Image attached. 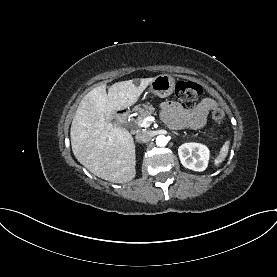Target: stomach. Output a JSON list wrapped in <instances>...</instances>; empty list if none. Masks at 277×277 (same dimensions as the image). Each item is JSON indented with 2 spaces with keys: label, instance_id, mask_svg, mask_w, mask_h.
Returning a JSON list of instances; mask_svg holds the SVG:
<instances>
[{
  "label": "stomach",
  "instance_id": "stomach-1",
  "mask_svg": "<svg viewBox=\"0 0 277 277\" xmlns=\"http://www.w3.org/2000/svg\"><path fill=\"white\" fill-rule=\"evenodd\" d=\"M175 88V80L168 74L158 75L150 83L149 92L159 97L169 96Z\"/></svg>",
  "mask_w": 277,
  "mask_h": 277
}]
</instances>
